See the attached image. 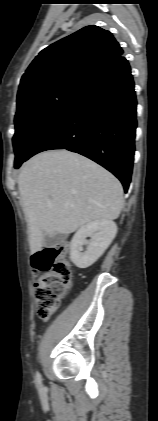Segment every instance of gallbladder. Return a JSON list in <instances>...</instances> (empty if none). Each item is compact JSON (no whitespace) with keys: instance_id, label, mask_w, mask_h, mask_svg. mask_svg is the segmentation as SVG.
Returning a JSON list of instances; mask_svg holds the SVG:
<instances>
[{"instance_id":"obj_1","label":"gallbladder","mask_w":158,"mask_h":421,"mask_svg":"<svg viewBox=\"0 0 158 421\" xmlns=\"http://www.w3.org/2000/svg\"><path fill=\"white\" fill-rule=\"evenodd\" d=\"M65 239V235L63 234H56L54 237H50L49 235H44V247H52L56 244L63 242Z\"/></svg>"}]
</instances>
